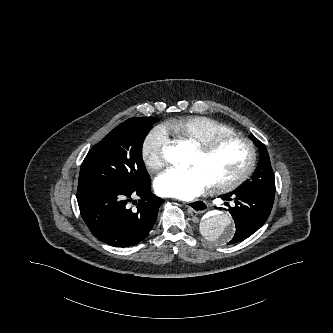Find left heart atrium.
Here are the masks:
<instances>
[{
  "label": "left heart atrium",
  "mask_w": 333,
  "mask_h": 333,
  "mask_svg": "<svg viewBox=\"0 0 333 333\" xmlns=\"http://www.w3.org/2000/svg\"><path fill=\"white\" fill-rule=\"evenodd\" d=\"M210 185V179L199 166L169 168L155 180V188L159 194L182 200L199 196Z\"/></svg>",
  "instance_id": "obj_1"
}]
</instances>
